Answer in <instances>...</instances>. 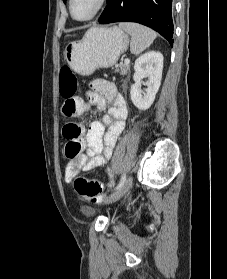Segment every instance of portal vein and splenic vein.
<instances>
[{
    "label": "portal vein and splenic vein",
    "mask_w": 227,
    "mask_h": 279,
    "mask_svg": "<svg viewBox=\"0 0 227 279\" xmlns=\"http://www.w3.org/2000/svg\"><path fill=\"white\" fill-rule=\"evenodd\" d=\"M124 63H125V64H129V63H130V60H129L128 58H125Z\"/></svg>",
    "instance_id": "obj_1"
}]
</instances>
